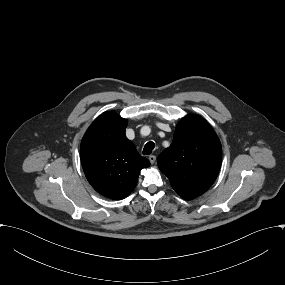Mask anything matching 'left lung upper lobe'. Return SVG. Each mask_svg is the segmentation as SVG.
<instances>
[{
  "instance_id": "1",
  "label": "left lung upper lobe",
  "mask_w": 285,
  "mask_h": 285,
  "mask_svg": "<svg viewBox=\"0 0 285 285\" xmlns=\"http://www.w3.org/2000/svg\"><path fill=\"white\" fill-rule=\"evenodd\" d=\"M221 143L201 116L187 115L176 126L173 142L157 159L174 190L186 200L206 192L220 170Z\"/></svg>"
}]
</instances>
